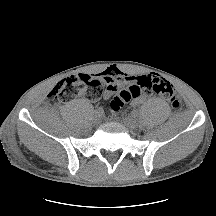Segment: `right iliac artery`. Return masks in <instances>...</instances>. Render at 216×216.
Wrapping results in <instances>:
<instances>
[{
  "mask_svg": "<svg viewBox=\"0 0 216 216\" xmlns=\"http://www.w3.org/2000/svg\"><path fill=\"white\" fill-rule=\"evenodd\" d=\"M95 114L101 116L104 114V110L102 108H98L95 110Z\"/></svg>",
  "mask_w": 216,
  "mask_h": 216,
  "instance_id": "right-iliac-artery-1",
  "label": "right iliac artery"
}]
</instances>
